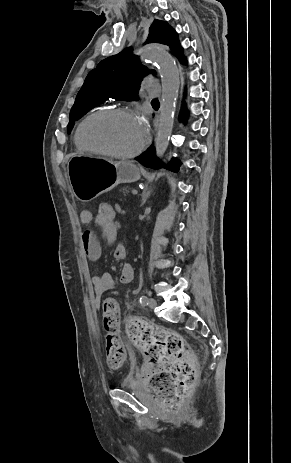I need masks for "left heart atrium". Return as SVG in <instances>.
Instances as JSON below:
<instances>
[{"label":"left heart atrium","mask_w":291,"mask_h":463,"mask_svg":"<svg viewBox=\"0 0 291 463\" xmlns=\"http://www.w3.org/2000/svg\"><path fill=\"white\" fill-rule=\"evenodd\" d=\"M138 122H139V125H140V127H141L143 133H144V134L147 133V126H146V123H145L143 120H140V121H138Z\"/></svg>","instance_id":"1"}]
</instances>
